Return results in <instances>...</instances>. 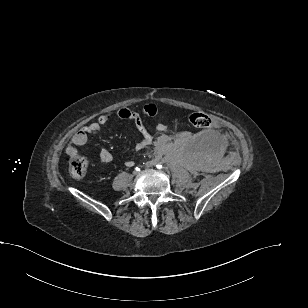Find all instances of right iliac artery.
<instances>
[{
    "instance_id": "1",
    "label": "right iliac artery",
    "mask_w": 308,
    "mask_h": 308,
    "mask_svg": "<svg viewBox=\"0 0 308 308\" xmlns=\"http://www.w3.org/2000/svg\"><path fill=\"white\" fill-rule=\"evenodd\" d=\"M135 171H137V172L140 171V168L136 167V168H135Z\"/></svg>"
}]
</instances>
